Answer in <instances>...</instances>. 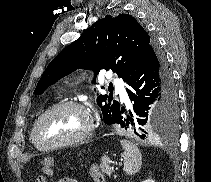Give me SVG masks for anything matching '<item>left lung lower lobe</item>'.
I'll use <instances>...</instances> for the list:
<instances>
[{"mask_svg": "<svg viewBox=\"0 0 211 182\" xmlns=\"http://www.w3.org/2000/svg\"><path fill=\"white\" fill-rule=\"evenodd\" d=\"M127 84L129 88H126V91L133 102V112L129 111L127 118H124L121 114L125 108L120 109L117 123L122 128L127 129L130 122L134 133L140 138L154 137L153 129L148 130L144 127L152 104L157 105L162 127L177 125L179 111L176 87L166 57L155 41L146 50Z\"/></svg>", "mask_w": 211, "mask_h": 182, "instance_id": "0a47b994", "label": "left lung lower lobe"}]
</instances>
